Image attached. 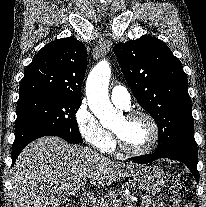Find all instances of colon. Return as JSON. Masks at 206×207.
Returning <instances> with one entry per match:
<instances>
[{
  "mask_svg": "<svg viewBox=\"0 0 206 207\" xmlns=\"http://www.w3.org/2000/svg\"><path fill=\"white\" fill-rule=\"evenodd\" d=\"M183 188L179 181H175L167 192L168 207H182L183 204ZM65 207H76V203L69 204Z\"/></svg>",
  "mask_w": 206,
  "mask_h": 207,
  "instance_id": "5ec220e1",
  "label": "colon"
}]
</instances>
